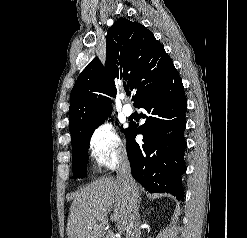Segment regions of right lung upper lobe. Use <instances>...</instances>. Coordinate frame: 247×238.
<instances>
[{
	"label": "right lung upper lobe",
	"instance_id": "cb5924a9",
	"mask_svg": "<svg viewBox=\"0 0 247 238\" xmlns=\"http://www.w3.org/2000/svg\"><path fill=\"white\" fill-rule=\"evenodd\" d=\"M174 67L151 31L138 22L118 19L106 38V62L94 58L79 75L70 95L72 145L111 115V100L123 84L133 101L159 84Z\"/></svg>",
	"mask_w": 247,
	"mask_h": 238
}]
</instances>
